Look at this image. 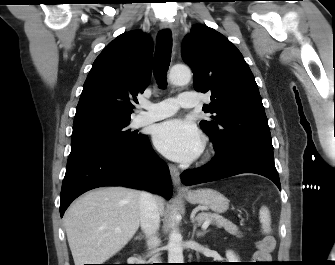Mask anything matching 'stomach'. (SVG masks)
Here are the masks:
<instances>
[{
  "instance_id": "obj_1",
  "label": "stomach",
  "mask_w": 335,
  "mask_h": 265,
  "mask_svg": "<svg viewBox=\"0 0 335 265\" xmlns=\"http://www.w3.org/2000/svg\"><path fill=\"white\" fill-rule=\"evenodd\" d=\"M184 197L189 203L207 206L216 213H224L229 207V201L223 194L209 188L189 191Z\"/></svg>"
}]
</instances>
